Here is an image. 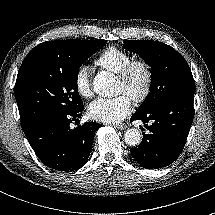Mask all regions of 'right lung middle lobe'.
<instances>
[{"label": "right lung middle lobe", "instance_id": "obj_1", "mask_svg": "<svg viewBox=\"0 0 215 215\" xmlns=\"http://www.w3.org/2000/svg\"><path fill=\"white\" fill-rule=\"evenodd\" d=\"M106 43V40H58L22 63L15 84L21 125L47 112L80 109L83 103L77 90L79 67Z\"/></svg>", "mask_w": 215, "mask_h": 215}]
</instances>
